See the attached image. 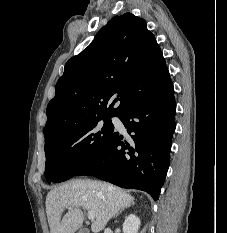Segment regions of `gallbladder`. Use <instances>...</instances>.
Instances as JSON below:
<instances>
[{"instance_id":"1","label":"gallbladder","mask_w":227,"mask_h":233,"mask_svg":"<svg viewBox=\"0 0 227 233\" xmlns=\"http://www.w3.org/2000/svg\"><path fill=\"white\" fill-rule=\"evenodd\" d=\"M77 233H87L86 229H80Z\"/></svg>"}]
</instances>
